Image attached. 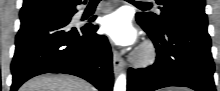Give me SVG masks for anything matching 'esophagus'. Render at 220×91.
<instances>
[{
  "label": "esophagus",
  "instance_id": "obj_1",
  "mask_svg": "<svg viewBox=\"0 0 220 91\" xmlns=\"http://www.w3.org/2000/svg\"><path fill=\"white\" fill-rule=\"evenodd\" d=\"M123 67H124L123 58L115 50L113 52V70H114V74L117 76L119 74V72L123 69Z\"/></svg>",
  "mask_w": 220,
  "mask_h": 91
}]
</instances>
